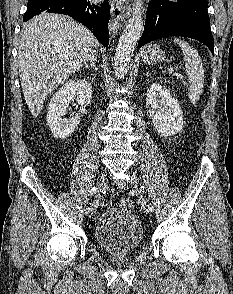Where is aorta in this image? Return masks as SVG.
I'll use <instances>...</instances> for the list:
<instances>
[{
	"mask_svg": "<svg viewBox=\"0 0 233 294\" xmlns=\"http://www.w3.org/2000/svg\"><path fill=\"white\" fill-rule=\"evenodd\" d=\"M143 28V1L135 0L134 8L123 33L118 41L114 69L117 78L123 79L127 73L135 47Z\"/></svg>",
	"mask_w": 233,
	"mask_h": 294,
	"instance_id": "obj_1",
	"label": "aorta"
}]
</instances>
